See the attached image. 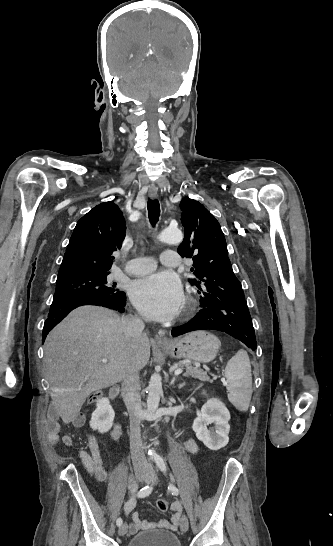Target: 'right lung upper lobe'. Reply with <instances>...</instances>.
<instances>
[{"label":"right lung upper lobe","mask_w":333,"mask_h":546,"mask_svg":"<svg viewBox=\"0 0 333 546\" xmlns=\"http://www.w3.org/2000/svg\"><path fill=\"white\" fill-rule=\"evenodd\" d=\"M125 220L119 207L104 202L78 222L61 263L58 278L79 273L109 272L125 237Z\"/></svg>","instance_id":"cb5924a9"}]
</instances>
